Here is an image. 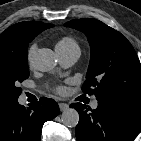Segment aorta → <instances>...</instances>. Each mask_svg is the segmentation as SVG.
Wrapping results in <instances>:
<instances>
[{
  "instance_id": "obj_1",
  "label": "aorta",
  "mask_w": 141,
  "mask_h": 141,
  "mask_svg": "<svg viewBox=\"0 0 141 141\" xmlns=\"http://www.w3.org/2000/svg\"><path fill=\"white\" fill-rule=\"evenodd\" d=\"M35 69L47 72L55 67V56L50 49H39L31 59ZM61 121L66 127H76L79 122V114L75 109L68 108L63 111Z\"/></svg>"
}]
</instances>
